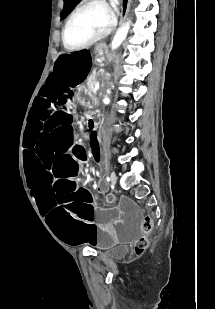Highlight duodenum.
Returning <instances> with one entry per match:
<instances>
[{
    "label": "duodenum",
    "instance_id": "obj_1",
    "mask_svg": "<svg viewBox=\"0 0 215 309\" xmlns=\"http://www.w3.org/2000/svg\"><path fill=\"white\" fill-rule=\"evenodd\" d=\"M101 117L99 114H91L88 119V126L96 128V125L100 123Z\"/></svg>",
    "mask_w": 215,
    "mask_h": 309
}]
</instances>
